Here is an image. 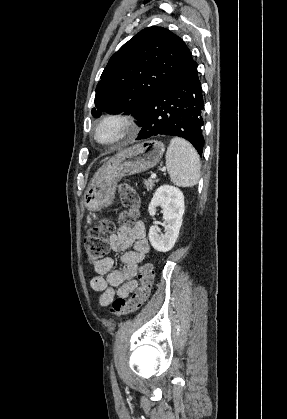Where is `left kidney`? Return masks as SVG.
<instances>
[{
	"label": "left kidney",
	"instance_id": "obj_1",
	"mask_svg": "<svg viewBox=\"0 0 287 419\" xmlns=\"http://www.w3.org/2000/svg\"><path fill=\"white\" fill-rule=\"evenodd\" d=\"M160 206L163 210V219L166 224L165 234H159L155 226L149 230V241L152 247L159 252L170 251L179 235L184 214V195L182 191L174 186H160L153 195L148 211L151 216L156 213Z\"/></svg>",
	"mask_w": 287,
	"mask_h": 419
}]
</instances>
